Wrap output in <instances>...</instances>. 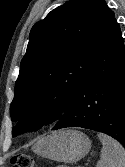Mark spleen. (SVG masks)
I'll list each match as a JSON object with an SVG mask.
<instances>
[{"instance_id":"spleen-1","label":"spleen","mask_w":125,"mask_h":167,"mask_svg":"<svg viewBox=\"0 0 125 167\" xmlns=\"http://www.w3.org/2000/svg\"><path fill=\"white\" fill-rule=\"evenodd\" d=\"M102 142L100 160L96 167H125V149L116 140L105 134H98Z\"/></svg>"}]
</instances>
